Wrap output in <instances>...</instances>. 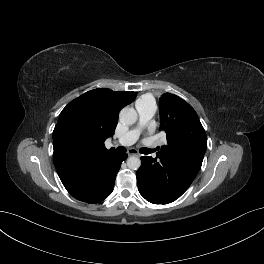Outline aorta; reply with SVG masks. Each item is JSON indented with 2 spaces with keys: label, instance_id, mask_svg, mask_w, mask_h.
I'll use <instances>...</instances> for the list:
<instances>
[{
  "label": "aorta",
  "instance_id": "762f6f07",
  "mask_svg": "<svg viewBox=\"0 0 264 264\" xmlns=\"http://www.w3.org/2000/svg\"><path fill=\"white\" fill-rule=\"evenodd\" d=\"M137 118L138 115L136 110L131 107H124L119 113L120 122L125 125L136 123ZM127 166L132 170H137L141 166V160L138 157L131 156L127 159Z\"/></svg>",
  "mask_w": 264,
  "mask_h": 264
}]
</instances>
